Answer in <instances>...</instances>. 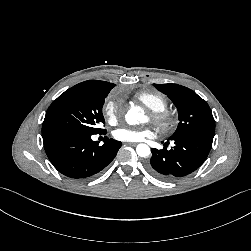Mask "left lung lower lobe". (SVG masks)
<instances>
[{
  "label": "left lung lower lobe",
  "instance_id": "0a47b994",
  "mask_svg": "<svg viewBox=\"0 0 251 251\" xmlns=\"http://www.w3.org/2000/svg\"><path fill=\"white\" fill-rule=\"evenodd\" d=\"M170 140L175 143L170 150L151 149L146 166L150 174L163 181L180 179L200 167L211 150L213 137L187 135Z\"/></svg>",
  "mask_w": 251,
  "mask_h": 251
}]
</instances>
